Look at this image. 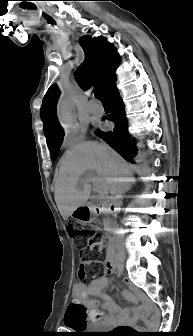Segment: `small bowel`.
<instances>
[{
	"mask_svg": "<svg viewBox=\"0 0 193 336\" xmlns=\"http://www.w3.org/2000/svg\"><path fill=\"white\" fill-rule=\"evenodd\" d=\"M114 272L115 267L106 261L105 273L111 275ZM107 286L108 279L106 276H98L89 283L77 281L73 286V296L78 299L80 304L71 309L66 325L70 327L85 326V322L103 321L104 326H109L116 322L125 323L131 321V312L120 308L113 299L105 294L104 290ZM91 296L100 298V301L89 299ZM124 296L129 300L136 298V295L130 291H125Z\"/></svg>",
	"mask_w": 193,
	"mask_h": 336,
	"instance_id": "1",
	"label": "small bowel"
}]
</instances>
